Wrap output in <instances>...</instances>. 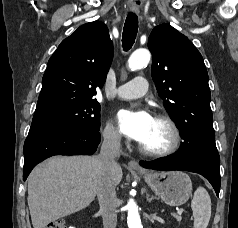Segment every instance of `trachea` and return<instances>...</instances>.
Segmentation results:
<instances>
[{
    "mask_svg": "<svg viewBox=\"0 0 238 228\" xmlns=\"http://www.w3.org/2000/svg\"><path fill=\"white\" fill-rule=\"evenodd\" d=\"M138 31V18L134 13L127 15L123 34H122V45L125 51H128L134 44Z\"/></svg>",
    "mask_w": 238,
    "mask_h": 228,
    "instance_id": "obj_1",
    "label": "trachea"
}]
</instances>
